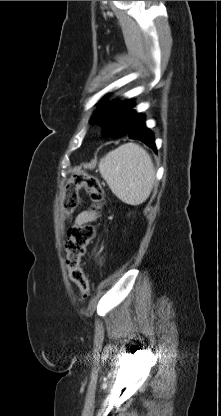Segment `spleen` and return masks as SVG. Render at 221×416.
<instances>
[{
	"label": "spleen",
	"instance_id": "obj_1",
	"mask_svg": "<svg viewBox=\"0 0 221 416\" xmlns=\"http://www.w3.org/2000/svg\"><path fill=\"white\" fill-rule=\"evenodd\" d=\"M99 171L111 191L130 205L142 204L155 181V169L148 152L136 143H126L106 154Z\"/></svg>",
	"mask_w": 221,
	"mask_h": 416
}]
</instances>
